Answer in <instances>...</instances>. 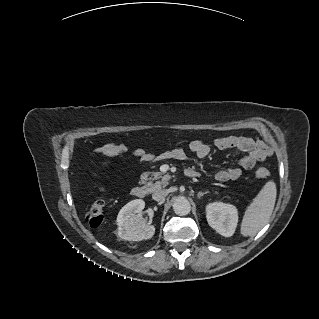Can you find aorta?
Returning <instances> with one entry per match:
<instances>
[{
  "mask_svg": "<svg viewBox=\"0 0 319 319\" xmlns=\"http://www.w3.org/2000/svg\"><path fill=\"white\" fill-rule=\"evenodd\" d=\"M173 210L179 216H185L190 213L191 205L184 196H179L174 200Z\"/></svg>",
  "mask_w": 319,
  "mask_h": 319,
  "instance_id": "762f6f07",
  "label": "aorta"
}]
</instances>
